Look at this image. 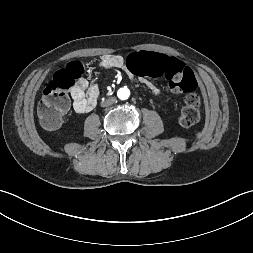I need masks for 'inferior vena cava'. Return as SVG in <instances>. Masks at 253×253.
<instances>
[{
  "label": "inferior vena cava",
  "mask_w": 253,
  "mask_h": 253,
  "mask_svg": "<svg viewBox=\"0 0 253 253\" xmlns=\"http://www.w3.org/2000/svg\"><path fill=\"white\" fill-rule=\"evenodd\" d=\"M116 101L115 97H111L102 103L103 107L110 106Z\"/></svg>",
  "instance_id": "602c4592"
}]
</instances>
